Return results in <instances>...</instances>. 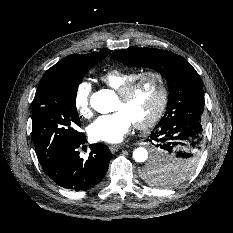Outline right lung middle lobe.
Masks as SVG:
<instances>
[{"label": "right lung middle lobe", "mask_w": 233, "mask_h": 233, "mask_svg": "<svg viewBox=\"0 0 233 233\" xmlns=\"http://www.w3.org/2000/svg\"><path fill=\"white\" fill-rule=\"evenodd\" d=\"M102 58L37 89L32 103L33 143L39 160L50 161L83 135L77 131L80 121L76 109L78 85Z\"/></svg>", "instance_id": "right-lung-middle-lobe-1"}]
</instances>
